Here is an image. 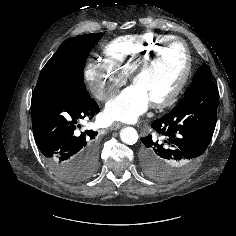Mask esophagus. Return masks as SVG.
<instances>
[{"label":"esophagus","mask_w":236,"mask_h":236,"mask_svg":"<svg viewBox=\"0 0 236 236\" xmlns=\"http://www.w3.org/2000/svg\"><path fill=\"white\" fill-rule=\"evenodd\" d=\"M122 126H123L122 123L115 122V123H113V124L110 126V129H111V130H117V129H120Z\"/></svg>","instance_id":"esophagus-1"}]
</instances>
